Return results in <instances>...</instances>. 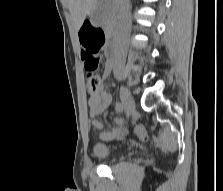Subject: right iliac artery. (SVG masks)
I'll use <instances>...</instances> for the list:
<instances>
[{
    "instance_id": "82829eb1",
    "label": "right iliac artery",
    "mask_w": 223,
    "mask_h": 191,
    "mask_svg": "<svg viewBox=\"0 0 223 191\" xmlns=\"http://www.w3.org/2000/svg\"><path fill=\"white\" fill-rule=\"evenodd\" d=\"M116 108L118 109V111H123L125 106H124V103L123 102H117L116 103Z\"/></svg>"
}]
</instances>
